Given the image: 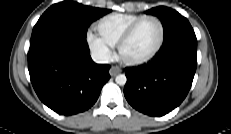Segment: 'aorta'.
Segmentation results:
<instances>
[{"label":"aorta","instance_id":"aorta-1","mask_svg":"<svg viewBox=\"0 0 231 134\" xmlns=\"http://www.w3.org/2000/svg\"><path fill=\"white\" fill-rule=\"evenodd\" d=\"M115 81L118 85L123 86L127 82V78L124 74L117 75Z\"/></svg>","mask_w":231,"mask_h":134}]
</instances>
